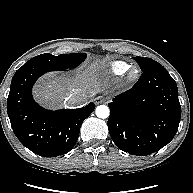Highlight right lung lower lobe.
Instances as JSON below:
<instances>
[{
  "mask_svg": "<svg viewBox=\"0 0 193 193\" xmlns=\"http://www.w3.org/2000/svg\"><path fill=\"white\" fill-rule=\"evenodd\" d=\"M56 71L43 67L19 68L14 74L7 99V113L20 142L43 157L69 152L77 142L83 121L93 112L90 103L80 109L49 111L32 97V86L44 73Z\"/></svg>",
  "mask_w": 193,
  "mask_h": 193,
  "instance_id": "1",
  "label": "right lung lower lobe"
}]
</instances>
